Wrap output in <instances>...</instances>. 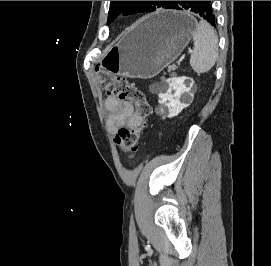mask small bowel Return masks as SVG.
<instances>
[{
	"instance_id": "1",
	"label": "small bowel",
	"mask_w": 271,
	"mask_h": 266,
	"mask_svg": "<svg viewBox=\"0 0 271 266\" xmlns=\"http://www.w3.org/2000/svg\"><path fill=\"white\" fill-rule=\"evenodd\" d=\"M105 107L110 113L108 125L112 131L121 126L139 127L142 125L141 115L135 111L130 102L110 95L105 99Z\"/></svg>"
}]
</instances>
